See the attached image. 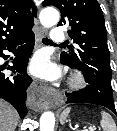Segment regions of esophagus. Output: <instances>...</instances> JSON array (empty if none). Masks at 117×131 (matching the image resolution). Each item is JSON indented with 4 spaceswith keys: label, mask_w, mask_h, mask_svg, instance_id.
<instances>
[{
    "label": "esophagus",
    "mask_w": 117,
    "mask_h": 131,
    "mask_svg": "<svg viewBox=\"0 0 117 131\" xmlns=\"http://www.w3.org/2000/svg\"><path fill=\"white\" fill-rule=\"evenodd\" d=\"M45 30L40 28L36 34V42L39 44L44 36ZM56 94L53 88L46 86H37L33 84L32 90L29 94L28 100L30 107L34 110L40 111L48 109L51 98Z\"/></svg>",
    "instance_id": "esophagus-1"
}]
</instances>
